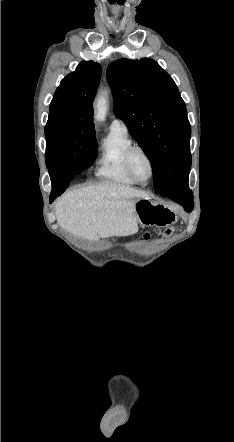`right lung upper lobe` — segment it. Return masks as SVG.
<instances>
[{
  "instance_id": "1",
  "label": "right lung upper lobe",
  "mask_w": 234,
  "mask_h": 442,
  "mask_svg": "<svg viewBox=\"0 0 234 442\" xmlns=\"http://www.w3.org/2000/svg\"><path fill=\"white\" fill-rule=\"evenodd\" d=\"M100 77L99 63L81 62L61 81L51 101L48 120L68 119L85 130L95 131L92 103Z\"/></svg>"
}]
</instances>
